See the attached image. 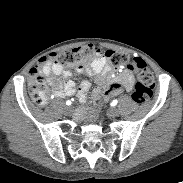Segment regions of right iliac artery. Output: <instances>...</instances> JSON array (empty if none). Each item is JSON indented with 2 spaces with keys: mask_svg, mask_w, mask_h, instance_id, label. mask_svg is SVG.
Segmentation results:
<instances>
[{
  "mask_svg": "<svg viewBox=\"0 0 183 183\" xmlns=\"http://www.w3.org/2000/svg\"><path fill=\"white\" fill-rule=\"evenodd\" d=\"M66 104H67V105H71V101H70V100H67V101H66Z\"/></svg>",
  "mask_w": 183,
  "mask_h": 183,
  "instance_id": "82829eb1",
  "label": "right iliac artery"
}]
</instances>
